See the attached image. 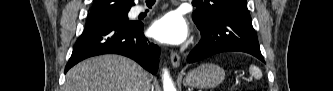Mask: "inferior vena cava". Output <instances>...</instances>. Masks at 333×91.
I'll return each mask as SVG.
<instances>
[{
  "instance_id": "obj_1",
  "label": "inferior vena cava",
  "mask_w": 333,
  "mask_h": 91,
  "mask_svg": "<svg viewBox=\"0 0 333 91\" xmlns=\"http://www.w3.org/2000/svg\"><path fill=\"white\" fill-rule=\"evenodd\" d=\"M149 90H150V87H149V84H147V85L144 87L143 91H149Z\"/></svg>"
}]
</instances>
